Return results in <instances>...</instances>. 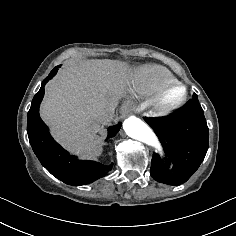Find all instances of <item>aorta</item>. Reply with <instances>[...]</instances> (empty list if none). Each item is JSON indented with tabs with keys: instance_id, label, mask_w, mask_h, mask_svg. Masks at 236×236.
I'll return each instance as SVG.
<instances>
[{
	"instance_id": "762f6f07",
	"label": "aorta",
	"mask_w": 236,
	"mask_h": 236,
	"mask_svg": "<svg viewBox=\"0 0 236 236\" xmlns=\"http://www.w3.org/2000/svg\"><path fill=\"white\" fill-rule=\"evenodd\" d=\"M123 129L129 137L153 147L154 152L160 158L164 157L162 144L152 129L141 119L137 117L127 118L123 123Z\"/></svg>"
}]
</instances>
